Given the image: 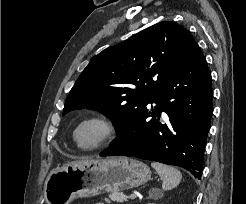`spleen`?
I'll return each instance as SVG.
<instances>
[{
  "mask_svg": "<svg viewBox=\"0 0 246 204\" xmlns=\"http://www.w3.org/2000/svg\"><path fill=\"white\" fill-rule=\"evenodd\" d=\"M151 166L157 171L160 178L162 179L163 190H171L180 183L182 174L175 167L159 162H152Z\"/></svg>",
  "mask_w": 246,
  "mask_h": 204,
  "instance_id": "obj_1",
  "label": "spleen"
}]
</instances>
